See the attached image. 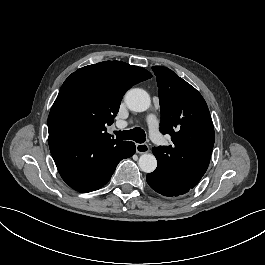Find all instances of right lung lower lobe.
<instances>
[{
	"mask_svg": "<svg viewBox=\"0 0 265 265\" xmlns=\"http://www.w3.org/2000/svg\"><path fill=\"white\" fill-rule=\"evenodd\" d=\"M48 142L62 179L81 193L104 186L117 164L136 150L133 142L70 134H49Z\"/></svg>",
	"mask_w": 265,
	"mask_h": 265,
	"instance_id": "98d812e1",
	"label": "right lung lower lobe"
}]
</instances>
